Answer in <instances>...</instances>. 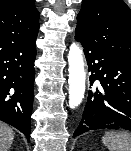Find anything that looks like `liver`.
<instances>
[{
    "mask_svg": "<svg viewBox=\"0 0 131 151\" xmlns=\"http://www.w3.org/2000/svg\"><path fill=\"white\" fill-rule=\"evenodd\" d=\"M14 139L13 130L0 122V151H8Z\"/></svg>",
    "mask_w": 131,
    "mask_h": 151,
    "instance_id": "6515ba94",
    "label": "liver"
}]
</instances>
